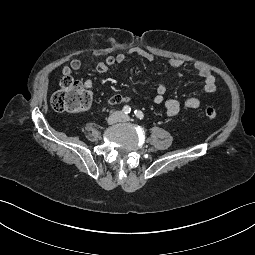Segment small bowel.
<instances>
[{"label": "small bowel", "instance_id": "small-bowel-1", "mask_svg": "<svg viewBox=\"0 0 255 255\" xmlns=\"http://www.w3.org/2000/svg\"><path fill=\"white\" fill-rule=\"evenodd\" d=\"M130 56H138L143 58L148 62H154L155 56L143 49L140 48H132L128 50L126 53H118L114 56H108L103 61H100L96 64V74L98 76L106 73L113 65L124 63L128 57ZM170 66L177 70L178 74H181V69L183 67V60L181 59H173L169 62ZM82 66V63L79 59H73L70 62L66 63L62 67V72L64 75H70L73 71H78ZM195 71L198 76L203 80V88L206 93H214L216 92V78L214 74L206 67L197 64L195 66ZM93 81L91 79H87L84 82V86L86 89L91 90L93 88ZM166 86L164 83L160 82L157 84L155 94L153 96V101L155 104H163L165 108V112L169 117H175L180 115L184 110L188 109H198L201 106V101L196 97H190L186 99L183 103L178 102L175 99H166ZM130 101V98L123 94H115L113 95L108 103L109 105H117L121 103H127Z\"/></svg>", "mask_w": 255, "mask_h": 255}]
</instances>
